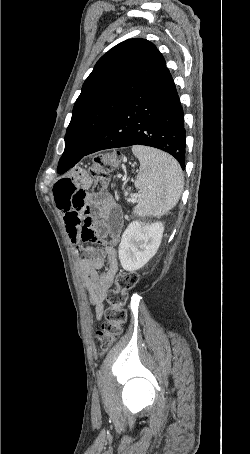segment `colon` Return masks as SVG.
<instances>
[{"label":"colon","instance_id":"colon-1","mask_svg":"<svg viewBox=\"0 0 250 454\" xmlns=\"http://www.w3.org/2000/svg\"><path fill=\"white\" fill-rule=\"evenodd\" d=\"M121 159L118 151L101 153L94 156L89 168L96 193L107 187L110 174L117 168ZM139 275L134 271L120 272L116 277V286L107 292L108 308L105 321L97 331L96 336L103 350L107 349L121 335L123 325L127 320L125 305L129 292L137 285Z\"/></svg>","mask_w":250,"mask_h":454}]
</instances>
